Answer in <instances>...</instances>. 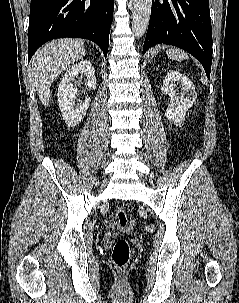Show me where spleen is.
Segmentation results:
<instances>
[{"label": "spleen", "instance_id": "3e777b00", "mask_svg": "<svg viewBox=\"0 0 239 303\" xmlns=\"http://www.w3.org/2000/svg\"><path fill=\"white\" fill-rule=\"evenodd\" d=\"M167 56L171 60H177V61H182L185 59H188L187 53L182 51L181 49H176V48H171L166 51Z\"/></svg>", "mask_w": 239, "mask_h": 303}]
</instances>
